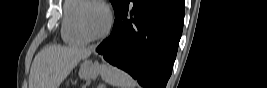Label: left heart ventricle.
Masks as SVG:
<instances>
[{
	"label": "left heart ventricle",
	"mask_w": 267,
	"mask_h": 88,
	"mask_svg": "<svg viewBox=\"0 0 267 88\" xmlns=\"http://www.w3.org/2000/svg\"><path fill=\"white\" fill-rule=\"evenodd\" d=\"M83 24L86 31L92 35L100 34L107 24L105 10L96 5H89L83 11Z\"/></svg>",
	"instance_id": "1"
}]
</instances>
